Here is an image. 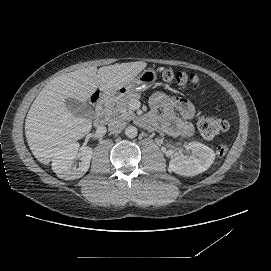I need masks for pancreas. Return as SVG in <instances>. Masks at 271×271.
<instances>
[{"mask_svg":"<svg viewBox=\"0 0 271 271\" xmlns=\"http://www.w3.org/2000/svg\"><path fill=\"white\" fill-rule=\"evenodd\" d=\"M138 97L139 95L137 93H129L126 97L120 100L111 98L106 106L111 109L117 117L122 119H131L135 116V112L129 107V103Z\"/></svg>","mask_w":271,"mask_h":271,"instance_id":"obj_1","label":"pancreas"}]
</instances>
